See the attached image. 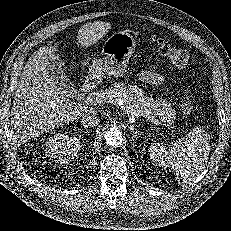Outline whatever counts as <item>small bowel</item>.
<instances>
[{
	"instance_id": "small-bowel-1",
	"label": "small bowel",
	"mask_w": 231,
	"mask_h": 231,
	"mask_svg": "<svg viewBox=\"0 0 231 231\" xmlns=\"http://www.w3.org/2000/svg\"><path fill=\"white\" fill-rule=\"evenodd\" d=\"M139 79L149 84H159L163 81V77L160 74L152 71L142 72L139 75Z\"/></svg>"
}]
</instances>
